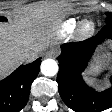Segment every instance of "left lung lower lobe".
<instances>
[{
	"label": "left lung lower lobe",
	"instance_id": "1",
	"mask_svg": "<svg viewBox=\"0 0 112 112\" xmlns=\"http://www.w3.org/2000/svg\"><path fill=\"white\" fill-rule=\"evenodd\" d=\"M107 38L112 39V25H105L90 39L62 46L58 57V90L64 103L75 112H101L112 107V87L97 92L82 77L97 45Z\"/></svg>",
	"mask_w": 112,
	"mask_h": 112
}]
</instances>
